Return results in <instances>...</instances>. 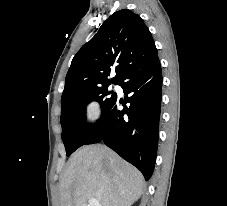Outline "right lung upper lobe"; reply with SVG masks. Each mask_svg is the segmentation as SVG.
I'll list each match as a JSON object with an SVG mask.
<instances>
[{
    "label": "right lung upper lobe",
    "instance_id": "right-lung-upper-lobe-1",
    "mask_svg": "<svg viewBox=\"0 0 227 206\" xmlns=\"http://www.w3.org/2000/svg\"><path fill=\"white\" fill-rule=\"evenodd\" d=\"M157 56L152 35L141 17L128 9L113 13L74 56L61 100L97 87L119 84L133 68ZM115 69L116 75L109 79Z\"/></svg>",
    "mask_w": 227,
    "mask_h": 206
}]
</instances>
